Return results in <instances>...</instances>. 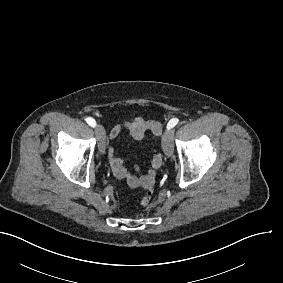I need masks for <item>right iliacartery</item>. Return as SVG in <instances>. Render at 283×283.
<instances>
[{"label":"right iliac artery","mask_w":283,"mask_h":283,"mask_svg":"<svg viewBox=\"0 0 283 283\" xmlns=\"http://www.w3.org/2000/svg\"><path fill=\"white\" fill-rule=\"evenodd\" d=\"M86 121H87V123H88L91 127H95V126H96V121H95L93 118L88 117V118L86 119Z\"/></svg>","instance_id":"right-iliac-artery-1"}]
</instances>
